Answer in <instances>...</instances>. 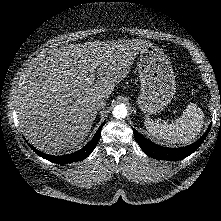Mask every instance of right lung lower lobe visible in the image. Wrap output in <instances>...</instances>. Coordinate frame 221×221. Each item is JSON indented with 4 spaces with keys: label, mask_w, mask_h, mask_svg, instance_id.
Masks as SVG:
<instances>
[{
    "label": "right lung lower lobe",
    "mask_w": 221,
    "mask_h": 221,
    "mask_svg": "<svg viewBox=\"0 0 221 221\" xmlns=\"http://www.w3.org/2000/svg\"><path fill=\"white\" fill-rule=\"evenodd\" d=\"M103 125H104V123L101 124V126L97 130L96 134L94 135V137L90 141V143H88L82 149H80V150H78V151H76L74 153L68 154V155H63V156L49 155V154H45V153H42V152L38 151L33 146H31L29 143H28V145L39 156L43 157L44 159H46L48 161H51V162H54V163H57V164H61L62 165V164H66V163L81 161V160H84L85 158H87L92 153L94 148L96 147L97 142H98V140L100 138V133H101Z\"/></svg>",
    "instance_id": "right-lung-lower-lobe-1"
}]
</instances>
